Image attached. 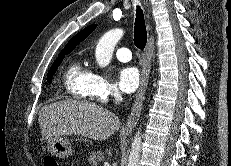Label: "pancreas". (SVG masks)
Returning <instances> with one entry per match:
<instances>
[{"label": "pancreas", "mask_w": 231, "mask_h": 166, "mask_svg": "<svg viewBox=\"0 0 231 166\" xmlns=\"http://www.w3.org/2000/svg\"><path fill=\"white\" fill-rule=\"evenodd\" d=\"M104 159V155L101 151H93L90 153L88 163L91 166H97Z\"/></svg>", "instance_id": "obj_1"}]
</instances>
